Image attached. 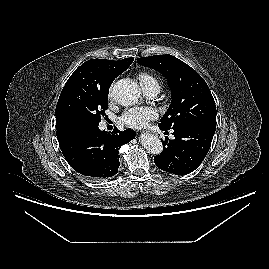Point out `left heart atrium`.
<instances>
[{"label":"left heart atrium","mask_w":269,"mask_h":269,"mask_svg":"<svg viewBox=\"0 0 269 269\" xmlns=\"http://www.w3.org/2000/svg\"><path fill=\"white\" fill-rule=\"evenodd\" d=\"M157 117V112L151 107L132 108L123 113L120 120L124 125L133 128H142Z\"/></svg>","instance_id":"39dd6f15"}]
</instances>
